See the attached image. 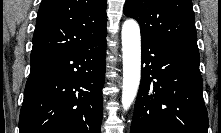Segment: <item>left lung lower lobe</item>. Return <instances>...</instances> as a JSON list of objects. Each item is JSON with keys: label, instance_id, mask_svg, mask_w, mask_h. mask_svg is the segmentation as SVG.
Here are the masks:
<instances>
[{"label": "left lung lower lobe", "instance_id": "0a47b994", "mask_svg": "<svg viewBox=\"0 0 221 133\" xmlns=\"http://www.w3.org/2000/svg\"><path fill=\"white\" fill-rule=\"evenodd\" d=\"M142 76L130 133H207L198 50L141 38Z\"/></svg>", "mask_w": 221, "mask_h": 133}]
</instances>
